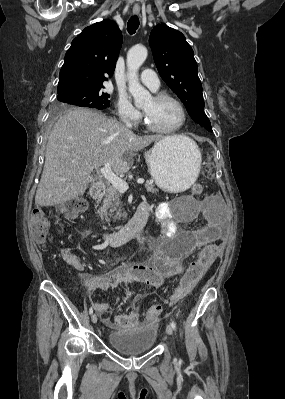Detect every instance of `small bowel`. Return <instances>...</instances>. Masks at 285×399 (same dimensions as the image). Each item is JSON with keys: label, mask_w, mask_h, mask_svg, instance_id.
<instances>
[{"label": "small bowel", "mask_w": 285, "mask_h": 399, "mask_svg": "<svg viewBox=\"0 0 285 399\" xmlns=\"http://www.w3.org/2000/svg\"><path fill=\"white\" fill-rule=\"evenodd\" d=\"M188 198H192L187 196ZM219 201L209 196L200 201L197 206H190L187 216L179 218L172 213L169 202L162 201L156 204L154 217L160 229V236L153 240V256L151 263L145 266H129L121 268L112 274L98 279L87 280L88 291L96 288L109 289L121 285H145L149 287H160L163 282L171 278H181L185 272V260L193 252H197V258L202 257L205 247L220 242V226L223 215L218 208ZM139 205H145L150 211V201L144 200ZM198 215L205 219V225L201 228H182L181 222L192 223ZM66 253L68 249L61 247ZM68 260L77 267H81L75 255L67 256ZM176 289L170 297V305H175L183 300L189 293L178 295ZM142 298L137 294L132 297L128 311L111 318L109 315L110 305L108 303H93L92 306L100 316L102 322L114 330H129L139 326L136 302ZM153 323V321L149 322Z\"/></svg>", "instance_id": "1"}]
</instances>
